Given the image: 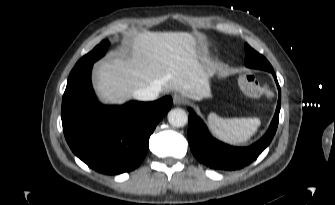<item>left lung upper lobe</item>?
<instances>
[{
	"mask_svg": "<svg viewBox=\"0 0 335 205\" xmlns=\"http://www.w3.org/2000/svg\"><path fill=\"white\" fill-rule=\"evenodd\" d=\"M246 60L245 65L250 68L261 69L268 72L274 71L267 59L252 49L247 43L245 44Z\"/></svg>",
	"mask_w": 335,
	"mask_h": 205,
	"instance_id": "1",
	"label": "left lung upper lobe"
}]
</instances>
